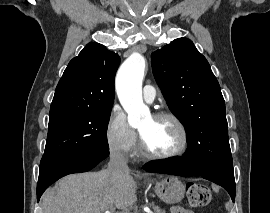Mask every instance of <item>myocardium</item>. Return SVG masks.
Segmentation results:
<instances>
[{"mask_svg":"<svg viewBox=\"0 0 270 213\" xmlns=\"http://www.w3.org/2000/svg\"><path fill=\"white\" fill-rule=\"evenodd\" d=\"M156 120L160 119H170L172 120L177 128L179 129L182 137L181 145L174 151L170 153H164V154H156L152 153L146 146L142 136L139 134V149L140 154L143 158L148 160H169L178 158L182 155H184L188 149L189 146V135L188 131L186 129V126L181 121V119L176 116L175 114L168 112V111H159L153 114L152 116Z\"/></svg>","mask_w":270,"mask_h":213,"instance_id":"f54148a6","label":"myocardium"}]
</instances>
